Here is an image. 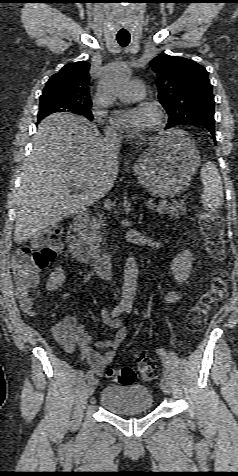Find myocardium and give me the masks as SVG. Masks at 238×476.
Segmentation results:
<instances>
[{
    "label": "myocardium",
    "mask_w": 238,
    "mask_h": 476,
    "mask_svg": "<svg viewBox=\"0 0 238 476\" xmlns=\"http://www.w3.org/2000/svg\"><path fill=\"white\" fill-rule=\"evenodd\" d=\"M149 108L152 110L154 114V123L151 127L152 130H157L163 124L164 114L163 111L154 104H148Z\"/></svg>",
    "instance_id": "f54148a6"
}]
</instances>
